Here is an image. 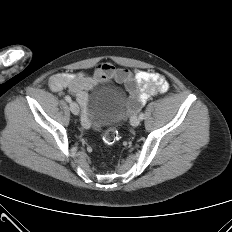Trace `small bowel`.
Wrapping results in <instances>:
<instances>
[{
    "instance_id": "small-bowel-1",
    "label": "small bowel",
    "mask_w": 232,
    "mask_h": 232,
    "mask_svg": "<svg viewBox=\"0 0 232 232\" xmlns=\"http://www.w3.org/2000/svg\"><path fill=\"white\" fill-rule=\"evenodd\" d=\"M112 81L123 83L130 94L128 112L136 113L151 97L165 93L169 84L165 77L152 71L131 72L116 67L111 62L97 66L93 74L84 72L59 73L51 77L49 86L53 91L68 90L81 104H86L88 91L96 89L100 84ZM84 125H92V116L83 118Z\"/></svg>"
}]
</instances>
